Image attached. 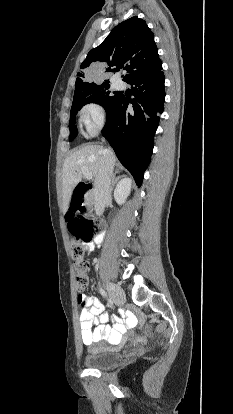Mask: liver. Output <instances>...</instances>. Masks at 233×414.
<instances>
[{"label":"liver","instance_id":"liver-1","mask_svg":"<svg viewBox=\"0 0 233 414\" xmlns=\"http://www.w3.org/2000/svg\"><path fill=\"white\" fill-rule=\"evenodd\" d=\"M105 149L96 144L86 145L67 157L62 169L63 211L70 206L74 188L85 176V173L96 177L103 161ZM114 158V165H115Z\"/></svg>","mask_w":233,"mask_h":414}]
</instances>
